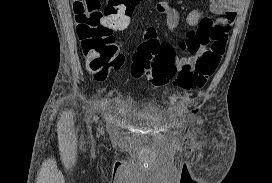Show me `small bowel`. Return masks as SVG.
<instances>
[{
    "label": "small bowel",
    "mask_w": 272,
    "mask_h": 183,
    "mask_svg": "<svg viewBox=\"0 0 272 183\" xmlns=\"http://www.w3.org/2000/svg\"><path fill=\"white\" fill-rule=\"evenodd\" d=\"M209 8L217 19L206 17L198 9L189 11L185 17L187 29L180 42L181 47L191 55L176 60L178 69L191 67L207 50L210 41L227 37L239 9V0H209ZM156 10L166 16V27L174 30L180 21L179 13L167 1L157 3ZM143 40H159L157 30L147 27L143 31ZM106 76L97 77L102 80Z\"/></svg>",
    "instance_id": "obj_1"
}]
</instances>
